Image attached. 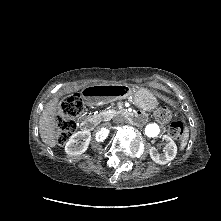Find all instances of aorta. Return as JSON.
<instances>
[{
	"label": "aorta",
	"mask_w": 221,
	"mask_h": 221,
	"mask_svg": "<svg viewBox=\"0 0 221 221\" xmlns=\"http://www.w3.org/2000/svg\"><path fill=\"white\" fill-rule=\"evenodd\" d=\"M160 129L157 124H149L146 126L145 133L149 137H155L159 134Z\"/></svg>",
	"instance_id": "obj_1"
}]
</instances>
